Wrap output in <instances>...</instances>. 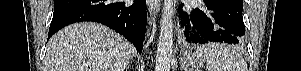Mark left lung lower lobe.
<instances>
[{
    "label": "left lung lower lobe",
    "mask_w": 301,
    "mask_h": 71,
    "mask_svg": "<svg viewBox=\"0 0 301 71\" xmlns=\"http://www.w3.org/2000/svg\"><path fill=\"white\" fill-rule=\"evenodd\" d=\"M200 3L201 7L193 8L190 15L180 13L188 42H243V0H203Z\"/></svg>",
    "instance_id": "1"
}]
</instances>
